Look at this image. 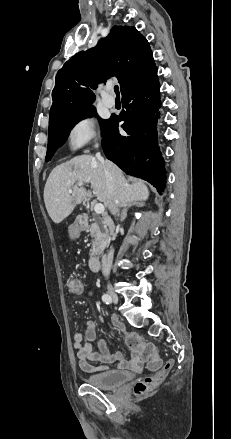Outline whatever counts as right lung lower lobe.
Returning <instances> with one entry per match:
<instances>
[{"label":"right lung lower lobe","mask_w":231,"mask_h":439,"mask_svg":"<svg viewBox=\"0 0 231 439\" xmlns=\"http://www.w3.org/2000/svg\"><path fill=\"white\" fill-rule=\"evenodd\" d=\"M157 72L122 96L123 111L108 119L102 135L106 157L131 176L150 182L161 194L166 184L165 163L157 144L156 123L161 106ZM127 135H120L119 122Z\"/></svg>","instance_id":"obj_1"}]
</instances>
